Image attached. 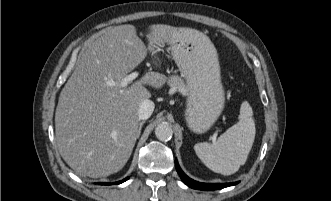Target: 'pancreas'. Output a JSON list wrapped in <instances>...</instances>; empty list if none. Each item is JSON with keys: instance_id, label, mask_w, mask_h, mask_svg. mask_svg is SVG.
<instances>
[{"instance_id": "pancreas-1", "label": "pancreas", "mask_w": 331, "mask_h": 201, "mask_svg": "<svg viewBox=\"0 0 331 201\" xmlns=\"http://www.w3.org/2000/svg\"><path fill=\"white\" fill-rule=\"evenodd\" d=\"M168 84L171 88L178 90L183 95L188 93V89L184 84L183 80L179 76H172L168 80Z\"/></svg>"}]
</instances>
